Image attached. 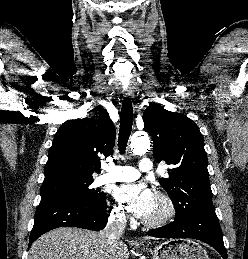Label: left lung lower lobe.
I'll return each instance as SVG.
<instances>
[{"mask_svg": "<svg viewBox=\"0 0 248 259\" xmlns=\"http://www.w3.org/2000/svg\"><path fill=\"white\" fill-rule=\"evenodd\" d=\"M147 235L158 238H193L203 241L215 248L227 259L223 237L217 215L214 211L192 213L176 218L175 221L147 232Z\"/></svg>", "mask_w": 248, "mask_h": 259, "instance_id": "1", "label": "left lung lower lobe"}]
</instances>
